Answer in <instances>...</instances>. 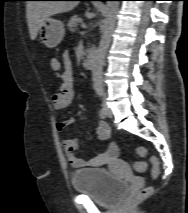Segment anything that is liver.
Segmentation results:
<instances>
[{"label": "liver", "mask_w": 188, "mask_h": 213, "mask_svg": "<svg viewBox=\"0 0 188 213\" xmlns=\"http://www.w3.org/2000/svg\"><path fill=\"white\" fill-rule=\"evenodd\" d=\"M78 3L76 1H28L26 16L31 40H35L39 27L50 16L71 11Z\"/></svg>", "instance_id": "6515ba94"}]
</instances>
